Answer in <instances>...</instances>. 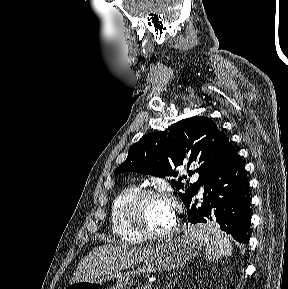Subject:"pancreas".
Returning a JSON list of instances; mask_svg holds the SVG:
<instances>
[{
	"instance_id": "obj_1",
	"label": "pancreas",
	"mask_w": 288,
	"mask_h": 289,
	"mask_svg": "<svg viewBox=\"0 0 288 289\" xmlns=\"http://www.w3.org/2000/svg\"><path fill=\"white\" fill-rule=\"evenodd\" d=\"M136 289H151V287L149 285H144L141 287H137Z\"/></svg>"
}]
</instances>
